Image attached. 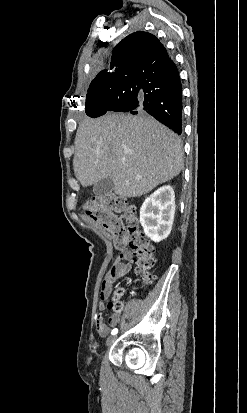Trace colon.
Listing matches in <instances>:
<instances>
[{"instance_id": "obj_1", "label": "colon", "mask_w": 247, "mask_h": 413, "mask_svg": "<svg viewBox=\"0 0 247 413\" xmlns=\"http://www.w3.org/2000/svg\"><path fill=\"white\" fill-rule=\"evenodd\" d=\"M84 209L90 218L113 234L117 248H122L125 242L128 243L140 282L151 283L155 276L149 269L156 263L157 258L154 248L138 227L137 207L113 195H104L88 200ZM123 220L131 224L129 228L123 226ZM110 307H123V304H109Z\"/></svg>"}]
</instances>
